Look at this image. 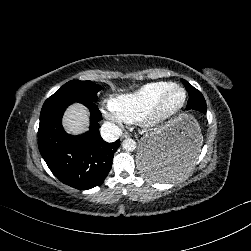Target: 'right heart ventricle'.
Listing matches in <instances>:
<instances>
[{
    "label": "right heart ventricle",
    "instance_id": "obj_1",
    "mask_svg": "<svg viewBox=\"0 0 251 251\" xmlns=\"http://www.w3.org/2000/svg\"><path fill=\"white\" fill-rule=\"evenodd\" d=\"M170 82L149 83L135 92L120 97L116 104L120 112L129 120L146 116L160 94L168 88Z\"/></svg>",
    "mask_w": 251,
    "mask_h": 251
}]
</instances>
